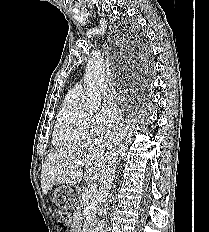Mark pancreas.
<instances>
[{"instance_id": "pancreas-1", "label": "pancreas", "mask_w": 209, "mask_h": 232, "mask_svg": "<svg viewBox=\"0 0 209 232\" xmlns=\"http://www.w3.org/2000/svg\"><path fill=\"white\" fill-rule=\"evenodd\" d=\"M81 204L84 207L89 206V220H87V227H92L94 225V219L98 210V203L95 196H89L88 191L83 190Z\"/></svg>"}]
</instances>
